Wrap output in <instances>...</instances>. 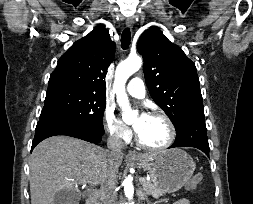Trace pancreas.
I'll return each mask as SVG.
<instances>
[{
    "label": "pancreas",
    "instance_id": "1",
    "mask_svg": "<svg viewBox=\"0 0 253 204\" xmlns=\"http://www.w3.org/2000/svg\"><path fill=\"white\" fill-rule=\"evenodd\" d=\"M143 190L147 195H152L153 197L163 196L165 192L153 181H145L142 183Z\"/></svg>",
    "mask_w": 253,
    "mask_h": 204
}]
</instances>
